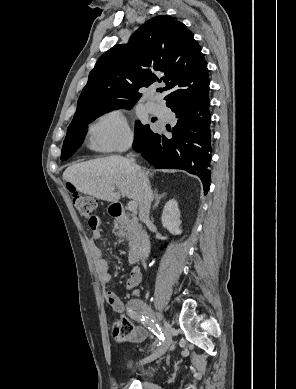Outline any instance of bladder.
Listing matches in <instances>:
<instances>
[{
	"instance_id": "bladder-1",
	"label": "bladder",
	"mask_w": 296,
	"mask_h": 389,
	"mask_svg": "<svg viewBox=\"0 0 296 389\" xmlns=\"http://www.w3.org/2000/svg\"><path fill=\"white\" fill-rule=\"evenodd\" d=\"M155 371L152 368H142L139 369L138 375L143 379H150L154 376Z\"/></svg>"
}]
</instances>
